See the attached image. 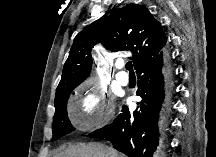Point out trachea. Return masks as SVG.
Returning a JSON list of instances; mask_svg holds the SVG:
<instances>
[{
  "mask_svg": "<svg viewBox=\"0 0 216 157\" xmlns=\"http://www.w3.org/2000/svg\"><path fill=\"white\" fill-rule=\"evenodd\" d=\"M126 69L130 72V74H134L133 65L130 61L126 63Z\"/></svg>",
  "mask_w": 216,
  "mask_h": 157,
  "instance_id": "1",
  "label": "trachea"
}]
</instances>
